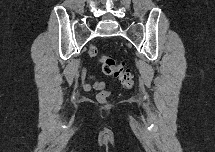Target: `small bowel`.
<instances>
[{"instance_id":"small-bowel-1","label":"small bowel","mask_w":215,"mask_h":152,"mask_svg":"<svg viewBox=\"0 0 215 152\" xmlns=\"http://www.w3.org/2000/svg\"><path fill=\"white\" fill-rule=\"evenodd\" d=\"M82 86L85 90H90L91 88L102 90L105 88V84L97 80L94 75L83 76Z\"/></svg>"}]
</instances>
